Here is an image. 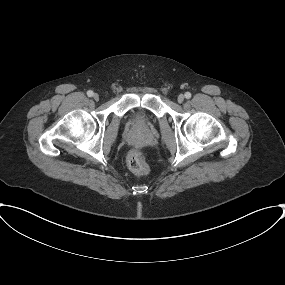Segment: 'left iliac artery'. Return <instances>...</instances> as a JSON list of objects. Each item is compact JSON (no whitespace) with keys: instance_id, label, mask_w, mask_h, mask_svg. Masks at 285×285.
Listing matches in <instances>:
<instances>
[{"instance_id":"44dca946","label":"left iliac artery","mask_w":285,"mask_h":285,"mask_svg":"<svg viewBox=\"0 0 285 285\" xmlns=\"http://www.w3.org/2000/svg\"><path fill=\"white\" fill-rule=\"evenodd\" d=\"M185 98L190 99L191 98V93L190 92H186L185 93Z\"/></svg>"}]
</instances>
